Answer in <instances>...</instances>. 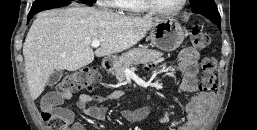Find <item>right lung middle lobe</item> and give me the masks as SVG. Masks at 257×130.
<instances>
[{
	"label": "right lung middle lobe",
	"mask_w": 257,
	"mask_h": 130,
	"mask_svg": "<svg viewBox=\"0 0 257 130\" xmlns=\"http://www.w3.org/2000/svg\"><path fill=\"white\" fill-rule=\"evenodd\" d=\"M83 2H85L88 5H92V3H94V0H83ZM67 3H69V1H65V0H35L29 14L33 15L42 9L51 8L54 6H64Z\"/></svg>",
	"instance_id": "right-lung-middle-lobe-1"
}]
</instances>
